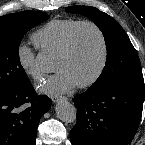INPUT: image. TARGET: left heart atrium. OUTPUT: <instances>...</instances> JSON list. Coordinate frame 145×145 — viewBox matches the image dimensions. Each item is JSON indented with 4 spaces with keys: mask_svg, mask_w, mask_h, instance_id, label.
Wrapping results in <instances>:
<instances>
[{
    "mask_svg": "<svg viewBox=\"0 0 145 145\" xmlns=\"http://www.w3.org/2000/svg\"><path fill=\"white\" fill-rule=\"evenodd\" d=\"M76 85L70 74L61 70L47 80L42 90L49 94H59L72 90Z\"/></svg>",
    "mask_w": 145,
    "mask_h": 145,
    "instance_id": "left-heart-atrium-1",
    "label": "left heart atrium"
}]
</instances>
